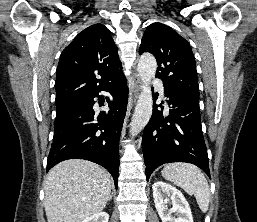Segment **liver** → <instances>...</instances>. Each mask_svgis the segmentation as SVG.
Masks as SVG:
<instances>
[{
    "label": "liver",
    "instance_id": "obj_1",
    "mask_svg": "<svg viewBox=\"0 0 257 222\" xmlns=\"http://www.w3.org/2000/svg\"><path fill=\"white\" fill-rule=\"evenodd\" d=\"M111 189L109 173L95 163L70 159L57 164L45 180L47 222H82L105 208Z\"/></svg>",
    "mask_w": 257,
    "mask_h": 222
}]
</instances>
